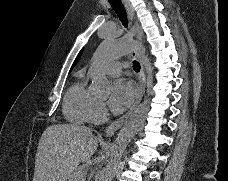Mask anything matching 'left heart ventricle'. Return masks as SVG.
Listing matches in <instances>:
<instances>
[{"mask_svg":"<svg viewBox=\"0 0 228 181\" xmlns=\"http://www.w3.org/2000/svg\"><path fill=\"white\" fill-rule=\"evenodd\" d=\"M119 72H113L110 76H106L109 80V85L110 87L112 86L113 83H115L118 79ZM115 80V81H114Z\"/></svg>","mask_w":228,"mask_h":181,"instance_id":"obj_1","label":"left heart ventricle"}]
</instances>
